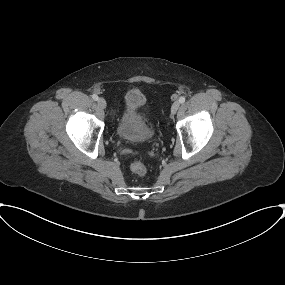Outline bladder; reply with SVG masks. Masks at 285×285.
I'll use <instances>...</instances> for the list:
<instances>
[{
  "label": "bladder",
  "mask_w": 285,
  "mask_h": 285,
  "mask_svg": "<svg viewBox=\"0 0 285 285\" xmlns=\"http://www.w3.org/2000/svg\"><path fill=\"white\" fill-rule=\"evenodd\" d=\"M145 104L146 97L141 90L131 89L125 93L123 108L116 124V134L120 139L146 143L154 138V129L143 115Z\"/></svg>",
  "instance_id": "31cf9c89"
}]
</instances>
